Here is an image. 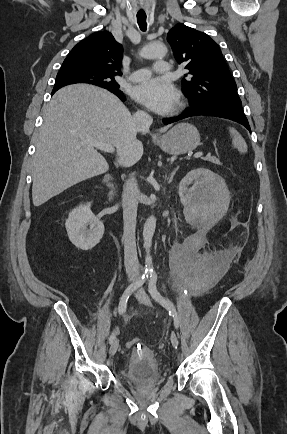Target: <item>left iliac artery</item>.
Wrapping results in <instances>:
<instances>
[{
    "label": "left iliac artery",
    "instance_id": "left-iliac-artery-1",
    "mask_svg": "<svg viewBox=\"0 0 287 434\" xmlns=\"http://www.w3.org/2000/svg\"><path fill=\"white\" fill-rule=\"evenodd\" d=\"M156 282H157V274L155 271H152L150 273V280H149V286H148V291L151 295V297L160 305H162L164 308L167 309V311L169 312V315L173 317L174 319V326L176 329H178L179 327V318L177 316V312L175 309V306L173 305V303L163 297L162 295H160V293L157 290L156 287Z\"/></svg>",
    "mask_w": 287,
    "mask_h": 434
}]
</instances>
